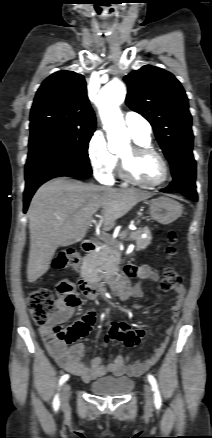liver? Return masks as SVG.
<instances>
[{
	"label": "liver",
	"mask_w": 212,
	"mask_h": 438,
	"mask_svg": "<svg viewBox=\"0 0 212 438\" xmlns=\"http://www.w3.org/2000/svg\"><path fill=\"white\" fill-rule=\"evenodd\" d=\"M152 193L137 189L104 188L58 177L43 184L29 209L28 282L44 275L57 248L80 242L93 215L96 225L111 230L115 222Z\"/></svg>",
	"instance_id": "obj_1"
}]
</instances>
